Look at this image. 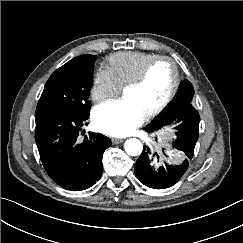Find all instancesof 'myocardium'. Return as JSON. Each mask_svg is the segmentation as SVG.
<instances>
[{"label": "myocardium", "mask_w": 243, "mask_h": 243, "mask_svg": "<svg viewBox=\"0 0 243 243\" xmlns=\"http://www.w3.org/2000/svg\"><path fill=\"white\" fill-rule=\"evenodd\" d=\"M162 61L169 62L173 67V70H174L173 85H172V88H171L168 96L166 97V99L156 109H154L153 111H151L150 113H148L145 116L146 120H151V119L159 116L161 113H163L168 108V106L173 102L174 98L176 97L177 92L179 90L180 82H181V76H180V70H179L178 64L171 57L157 56V57L153 58L152 60H150L143 67V69L140 71V73L137 75L136 78H134L132 81H130L128 84H126L124 86V91L129 90V89L139 88L145 82L152 67L155 64L162 62Z\"/></svg>", "instance_id": "obj_1"}]
</instances>
